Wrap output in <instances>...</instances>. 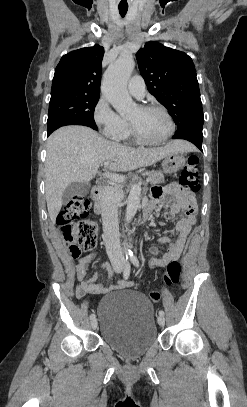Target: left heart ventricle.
<instances>
[{
    "label": "left heart ventricle",
    "mask_w": 247,
    "mask_h": 407,
    "mask_svg": "<svg viewBox=\"0 0 247 407\" xmlns=\"http://www.w3.org/2000/svg\"><path fill=\"white\" fill-rule=\"evenodd\" d=\"M128 121L134 124L141 137L149 141H158L169 131L168 120L159 110H142L137 107Z\"/></svg>",
    "instance_id": "left-heart-ventricle-1"
}]
</instances>
